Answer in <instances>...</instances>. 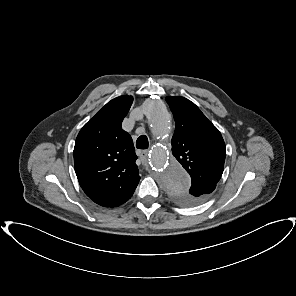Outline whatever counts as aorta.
<instances>
[{
	"label": "aorta",
	"instance_id": "aorta-1",
	"mask_svg": "<svg viewBox=\"0 0 296 296\" xmlns=\"http://www.w3.org/2000/svg\"><path fill=\"white\" fill-rule=\"evenodd\" d=\"M143 112L152 127L149 156L159 184L168 192L188 191L190 178L174 157L170 143L173 128L166 106L157 99H148L143 105Z\"/></svg>",
	"mask_w": 296,
	"mask_h": 296
}]
</instances>
